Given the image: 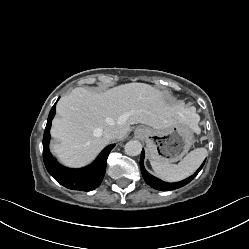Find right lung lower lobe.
I'll list each match as a JSON object with an SVG mask.
<instances>
[{"instance_id": "1", "label": "right lung lower lobe", "mask_w": 249, "mask_h": 249, "mask_svg": "<svg viewBox=\"0 0 249 249\" xmlns=\"http://www.w3.org/2000/svg\"><path fill=\"white\" fill-rule=\"evenodd\" d=\"M55 112L56 103L49 113L43 137V160L47 171L57 182L68 189L91 191L97 188L105 174L107 157L115 145L107 146L98 158L85 168L71 169L60 165L49 150L50 128Z\"/></svg>"}]
</instances>
